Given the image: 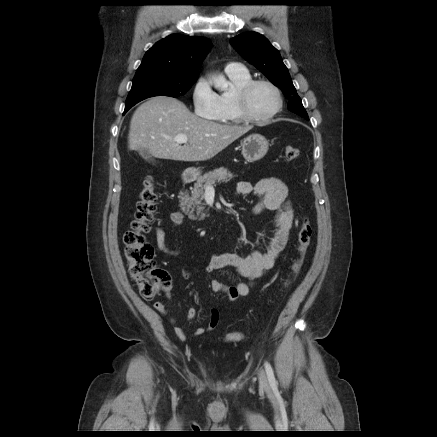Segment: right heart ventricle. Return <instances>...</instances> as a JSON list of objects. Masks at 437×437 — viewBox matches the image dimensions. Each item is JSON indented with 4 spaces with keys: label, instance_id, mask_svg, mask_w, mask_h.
<instances>
[{
    "label": "right heart ventricle",
    "instance_id": "obj_1",
    "mask_svg": "<svg viewBox=\"0 0 437 437\" xmlns=\"http://www.w3.org/2000/svg\"><path fill=\"white\" fill-rule=\"evenodd\" d=\"M225 74L232 83V89L223 91L218 94L219 113L215 118L216 121L224 124H239L243 122L237 106L236 92L247 82L252 80L250 73L246 69L226 71Z\"/></svg>",
    "mask_w": 437,
    "mask_h": 437
}]
</instances>
